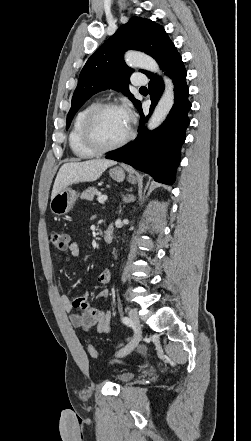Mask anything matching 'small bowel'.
Here are the masks:
<instances>
[{
    "label": "small bowel",
    "mask_w": 251,
    "mask_h": 441,
    "mask_svg": "<svg viewBox=\"0 0 251 441\" xmlns=\"http://www.w3.org/2000/svg\"><path fill=\"white\" fill-rule=\"evenodd\" d=\"M67 250L73 258L80 256V246L77 242H70ZM111 279L109 270H103L97 278L100 284H107ZM109 295L108 290H101L97 298L106 299ZM60 304L65 311L70 313L69 320L73 327L85 331L96 328L100 333H107L110 331V312L99 307L90 306L88 302V294L78 296L71 299L68 295L62 294L59 297Z\"/></svg>",
    "instance_id": "c3829d8e"
}]
</instances>
